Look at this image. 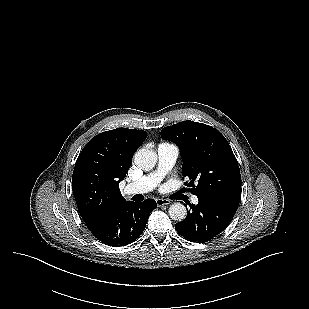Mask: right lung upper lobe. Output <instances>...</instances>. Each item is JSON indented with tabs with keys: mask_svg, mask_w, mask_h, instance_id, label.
Returning a JSON list of instances; mask_svg holds the SVG:
<instances>
[{
	"mask_svg": "<svg viewBox=\"0 0 309 309\" xmlns=\"http://www.w3.org/2000/svg\"><path fill=\"white\" fill-rule=\"evenodd\" d=\"M146 136L143 130L117 128L98 134L83 148L73 171L72 188L87 227L125 202L119 182L125 178L133 154Z\"/></svg>",
	"mask_w": 309,
	"mask_h": 309,
	"instance_id": "1",
	"label": "right lung upper lobe"
}]
</instances>
